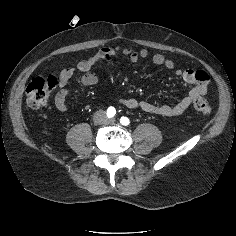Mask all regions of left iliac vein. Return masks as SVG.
Listing matches in <instances>:
<instances>
[{"instance_id":"4c4485c4","label":"left iliac vein","mask_w":236,"mask_h":236,"mask_svg":"<svg viewBox=\"0 0 236 236\" xmlns=\"http://www.w3.org/2000/svg\"><path fill=\"white\" fill-rule=\"evenodd\" d=\"M109 121H110V122H114V121H115V119H110Z\"/></svg>"}]
</instances>
